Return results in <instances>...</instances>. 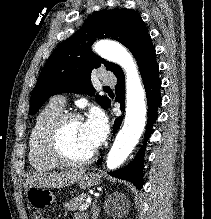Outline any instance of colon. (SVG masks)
I'll return each instance as SVG.
<instances>
[{"instance_id":"5ec220e1","label":"colon","mask_w":211,"mask_h":219,"mask_svg":"<svg viewBox=\"0 0 211 219\" xmlns=\"http://www.w3.org/2000/svg\"><path fill=\"white\" fill-rule=\"evenodd\" d=\"M32 219H50V217L45 214H35Z\"/></svg>"}]
</instances>
